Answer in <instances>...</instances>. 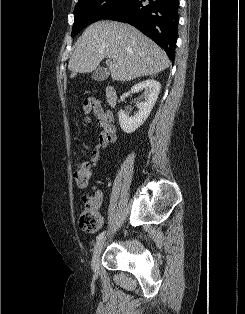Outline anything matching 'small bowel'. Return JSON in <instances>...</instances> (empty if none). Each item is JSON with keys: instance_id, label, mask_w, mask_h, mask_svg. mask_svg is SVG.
Masks as SVG:
<instances>
[{"instance_id": "c3829d8e", "label": "small bowel", "mask_w": 245, "mask_h": 314, "mask_svg": "<svg viewBox=\"0 0 245 314\" xmlns=\"http://www.w3.org/2000/svg\"><path fill=\"white\" fill-rule=\"evenodd\" d=\"M85 114L93 113L96 123L99 127L96 145L91 152V160L93 164H97L100 160L102 152L109 146L115 144L117 135L116 127L113 122L112 115L105 110L103 103L95 98H89L87 103L83 105ZM102 201V196L97 195V205Z\"/></svg>"}]
</instances>
